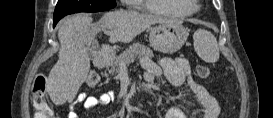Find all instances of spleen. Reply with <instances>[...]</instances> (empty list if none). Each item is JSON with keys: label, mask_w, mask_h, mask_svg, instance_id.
I'll list each match as a JSON object with an SVG mask.
<instances>
[{"label": "spleen", "mask_w": 273, "mask_h": 118, "mask_svg": "<svg viewBox=\"0 0 273 118\" xmlns=\"http://www.w3.org/2000/svg\"><path fill=\"white\" fill-rule=\"evenodd\" d=\"M194 49L198 56L207 63L219 59V48L215 36L207 30L198 29L194 35Z\"/></svg>", "instance_id": "1"}]
</instances>
